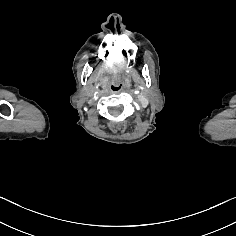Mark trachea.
Wrapping results in <instances>:
<instances>
[{
  "instance_id": "trachea-1",
  "label": "trachea",
  "mask_w": 236,
  "mask_h": 236,
  "mask_svg": "<svg viewBox=\"0 0 236 236\" xmlns=\"http://www.w3.org/2000/svg\"><path fill=\"white\" fill-rule=\"evenodd\" d=\"M111 90H112L113 93L118 94V93L121 92L122 87H121L120 84L115 83V84L112 85Z\"/></svg>"
}]
</instances>
